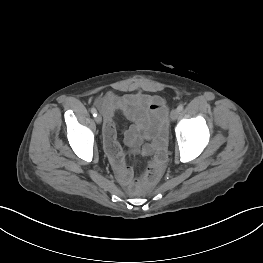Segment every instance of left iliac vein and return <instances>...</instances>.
Returning a JSON list of instances; mask_svg holds the SVG:
<instances>
[{
	"mask_svg": "<svg viewBox=\"0 0 263 263\" xmlns=\"http://www.w3.org/2000/svg\"><path fill=\"white\" fill-rule=\"evenodd\" d=\"M178 116H179V111H178V109H173V110L171 111V114H170L171 120H172V121H175V120L178 118Z\"/></svg>",
	"mask_w": 263,
	"mask_h": 263,
	"instance_id": "left-iliac-vein-1",
	"label": "left iliac vein"
}]
</instances>
